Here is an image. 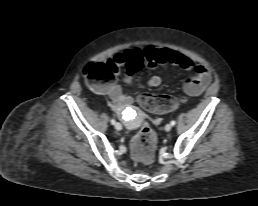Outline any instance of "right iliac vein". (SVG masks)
<instances>
[{
  "instance_id": "1",
  "label": "right iliac vein",
  "mask_w": 258,
  "mask_h": 206,
  "mask_svg": "<svg viewBox=\"0 0 258 206\" xmlns=\"http://www.w3.org/2000/svg\"><path fill=\"white\" fill-rule=\"evenodd\" d=\"M115 129L118 130V131L121 130L122 129V125L120 123H118V122L115 123Z\"/></svg>"
}]
</instances>
